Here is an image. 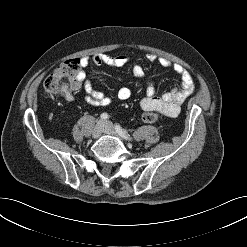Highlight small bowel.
<instances>
[{"mask_svg": "<svg viewBox=\"0 0 247 247\" xmlns=\"http://www.w3.org/2000/svg\"><path fill=\"white\" fill-rule=\"evenodd\" d=\"M146 59L150 63H157L163 67L169 68L179 75L181 79L180 87L170 92L158 96L155 86L152 82H146L145 96L140 102L144 111H159L169 117H176L181 110L183 102L193 93L195 89L193 78L190 72L182 65L165 57L158 56L154 53H148ZM130 62L127 55L111 56L105 53H97L93 56H85L79 59L80 72L79 82L84 91V99L87 103L97 106H107L111 103L112 98L100 91H97L91 81L87 78V69L91 64L97 66L122 67ZM135 77L143 79L145 77L144 69L141 65L133 66ZM131 96V91L127 87L118 89L116 97L118 100L125 101ZM72 99L71 97H69Z\"/></svg>", "mask_w": 247, "mask_h": 247, "instance_id": "1", "label": "small bowel"}]
</instances>
